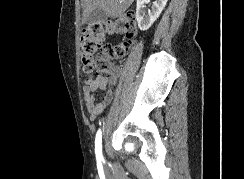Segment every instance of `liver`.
Instances as JSON below:
<instances>
[{
    "label": "liver",
    "instance_id": "1",
    "mask_svg": "<svg viewBox=\"0 0 244 179\" xmlns=\"http://www.w3.org/2000/svg\"><path fill=\"white\" fill-rule=\"evenodd\" d=\"M83 6V20L86 22L92 10L98 8L106 12L109 18H119L131 6L133 0H81Z\"/></svg>",
    "mask_w": 244,
    "mask_h": 179
}]
</instances>
